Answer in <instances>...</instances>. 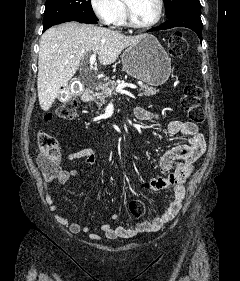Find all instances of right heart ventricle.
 Wrapping results in <instances>:
<instances>
[{"label": "right heart ventricle", "instance_id": "right-heart-ventricle-1", "mask_svg": "<svg viewBox=\"0 0 240 281\" xmlns=\"http://www.w3.org/2000/svg\"><path fill=\"white\" fill-rule=\"evenodd\" d=\"M118 7H119V13L116 19L115 24L117 25H125L126 24V13H125V5L123 0H118Z\"/></svg>", "mask_w": 240, "mask_h": 281}]
</instances>
